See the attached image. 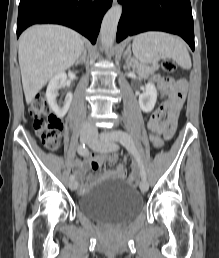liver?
Listing matches in <instances>:
<instances>
[{"label": "liver", "instance_id": "obj_1", "mask_svg": "<svg viewBox=\"0 0 219 258\" xmlns=\"http://www.w3.org/2000/svg\"><path fill=\"white\" fill-rule=\"evenodd\" d=\"M84 41L75 31L59 25H35L19 38L18 58L27 104L55 75L80 57Z\"/></svg>", "mask_w": 219, "mask_h": 258}]
</instances>
